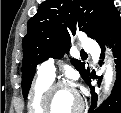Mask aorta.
<instances>
[{
    "mask_svg": "<svg viewBox=\"0 0 121 113\" xmlns=\"http://www.w3.org/2000/svg\"><path fill=\"white\" fill-rule=\"evenodd\" d=\"M104 79H105V90L108 91L113 81V67L111 62L107 64Z\"/></svg>",
    "mask_w": 121,
    "mask_h": 113,
    "instance_id": "762f6f07",
    "label": "aorta"
}]
</instances>
